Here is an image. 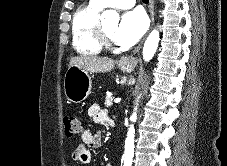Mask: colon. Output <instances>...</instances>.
Masks as SVG:
<instances>
[{
    "label": "colon",
    "instance_id": "obj_1",
    "mask_svg": "<svg viewBox=\"0 0 227 166\" xmlns=\"http://www.w3.org/2000/svg\"><path fill=\"white\" fill-rule=\"evenodd\" d=\"M65 134L68 137L77 135L82 129V123L77 115L69 114L64 117Z\"/></svg>",
    "mask_w": 227,
    "mask_h": 166
}]
</instances>
